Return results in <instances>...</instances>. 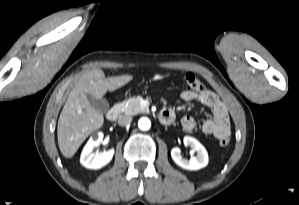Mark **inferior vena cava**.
Instances as JSON below:
<instances>
[{
	"label": "inferior vena cava",
	"instance_id": "1",
	"mask_svg": "<svg viewBox=\"0 0 299 205\" xmlns=\"http://www.w3.org/2000/svg\"><path fill=\"white\" fill-rule=\"evenodd\" d=\"M132 117L127 115H121L118 119V124L121 126H127L131 123Z\"/></svg>",
	"mask_w": 299,
	"mask_h": 205
}]
</instances>
